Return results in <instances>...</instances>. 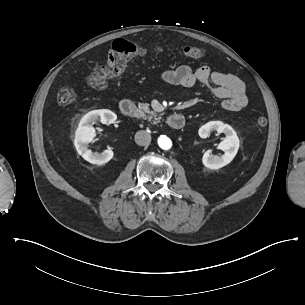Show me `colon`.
<instances>
[{"mask_svg": "<svg viewBox=\"0 0 305 305\" xmlns=\"http://www.w3.org/2000/svg\"><path fill=\"white\" fill-rule=\"evenodd\" d=\"M148 53V50L136 43L119 42L115 46L114 64L110 66L96 67L87 78V84L94 90L100 91L106 88L108 80L120 74L127 63L137 56ZM186 57L192 60H203L207 56L204 48L194 45H187L183 49ZM76 101V94L72 88H62L57 94V102L59 105H70ZM259 127L264 128L267 125V118L259 116L256 120Z\"/></svg>", "mask_w": 305, "mask_h": 305, "instance_id": "1", "label": "colon"}]
</instances>
